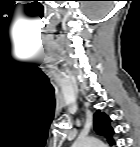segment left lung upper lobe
<instances>
[{
    "mask_svg": "<svg viewBox=\"0 0 140 147\" xmlns=\"http://www.w3.org/2000/svg\"><path fill=\"white\" fill-rule=\"evenodd\" d=\"M111 119L105 115V113L100 112L98 110L94 114V129L95 131L100 134L105 136L110 144H114V141L112 139V135L114 134L113 129L110 126Z\"/></svg>",
    "mask_w": 140,
    "mask_h": 147,
    "instance_id": "1",
    "label": "left lung upper lobe"
}]
</instances>
